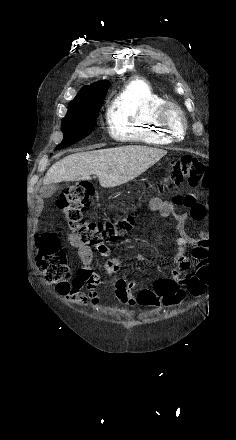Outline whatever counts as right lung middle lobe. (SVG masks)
Segmentation results:
<instances>
[{"label": "right lung middle lobe", "instance_id": "obj_1", "mask_svg": "<svg viewBox=\"0 0 236 440\" xmlns=\"http://www.w3.org/2000/svg\"><path fill=\"white\" fill-rule=\"evenodd\" d=\"M105 95L70 102L68 112L61 123L63 141L55 150L72 145L91 133L96 126L98 109Z\"/></svg>", "mask_w": 236, "mask_h": 440}]
</instances>
